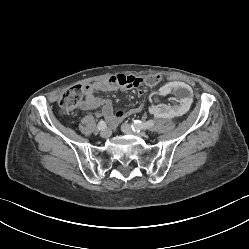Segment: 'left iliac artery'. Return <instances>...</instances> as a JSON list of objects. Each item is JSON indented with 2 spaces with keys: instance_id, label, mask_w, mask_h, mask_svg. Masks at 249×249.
Returning <instances> with one entry per match:
<instances>
[{
  "instance_id": "44dca946",
  "label": "left iliac artery",
  "mask_w": 249,
  "mask_h": 249,
  "mask_svg": "<svg viewBox=\"0 0 249 249\" xmlns=\"http://www.w3.org/2000/svg\"><path fill=\"white\" fill-rule=\"evenodd\" d=\"M154 125L153 120H149L145 123H142L139 120H134L133 124H132V129L133 131L139 132L141 129H149Z\"/></svg>"
}]
</instances>
